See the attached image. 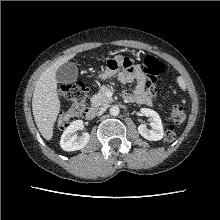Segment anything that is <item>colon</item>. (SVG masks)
Returning a JSON list of instances; mask_svg holds the SVG:
<instances>
[{
	"label": "colon",
	"mask_w": 220,
	"mask_h": 220,
	"mask_svg": "<svg viewBox=\"0 0 220 220\" xmlns=\"http://www.w3.org/2000/svg\"><path fill=\"white\" fill-rule=\"evenodd\" d=\"M119 61L124 68H128L132 65V62L127 57ZM142 68L149 77L150 84L153 85L157 77L163 72L164 65L155 57L147 56L143 61ZM60 94L70 103L69 109L61 112L58 117V125L64 128L85 114L87 110L86 87L84 83L80 81L66 83L61 86ZM169 118L173 123L180 124L185 119V113L180 107L172 106L169 110ZM175 138L176 133L173 128L168 129L165 134V141L170 143L173 142Z\"/></svg>",
	"instance_id": "1"
}]
</instances>
